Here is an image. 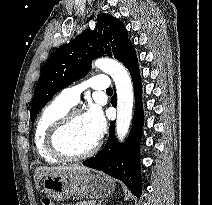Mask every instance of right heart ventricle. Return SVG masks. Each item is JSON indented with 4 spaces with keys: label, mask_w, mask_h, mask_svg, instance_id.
<instances>
[{
    "label": "right heart ventricle",
    "mask_w": 212,
    "mask_h": 205,
    "mask_svg": "<svg viewBox=\"0 0 212 205\" xmlns=\"http://www.w3.org/2000/svg\"><path fill=\"white\" fill-rule=\"evenodd\" d=\"M71 107L58 98L48 104L41 112L34 130V145L37 153L49 163H57L60 159L53 156L47 147L46 139L50 127Z\"/></svg>",
    "instance_id": "e07e8e85"
}]
</instances>
